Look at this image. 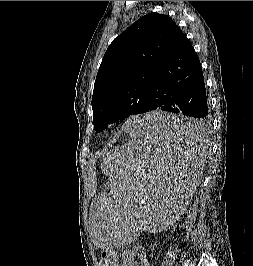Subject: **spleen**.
Returning <instances> with one entry per match:
<instances>
[{
    "mask_svg": "<svg viewBox=\"0 0 253 266\" xmlns=\"http://www.w3.org/2000/svg\"><path fill=\"white\" fill-rule=\"evenodd\" d=\"M115 153L109 154L110 207H92L93 246L137 248L145 229H170L174 214L191 204L201 175L205 123L179 111H146L123 123Z\"/></svg>",
    "mask_w": 253,
    "mask_h": 266,
    "instance_id": "3e777b00",
    "label": "spleen"
}]
</instances>
